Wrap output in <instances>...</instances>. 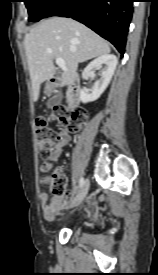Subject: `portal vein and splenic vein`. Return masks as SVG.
I'll use <instances>...</instances> for the list:
<instances>
[{
    "mask_svg": "<svg viewBox=\"0 0 158 275\" xmlns=\"http://www.w3.org/2000/svg\"><path fill=\"white\" fill-rule=\"evenodd\" d=\"M56 64L63 70L67 71L65 61L62 58H56Z\"/></svg>",
    "mask_w": 158,
    "mask_h": 275,
    "instance_id": "1",
    "label": "portal vein and splenic vein"
}]
</instances>
